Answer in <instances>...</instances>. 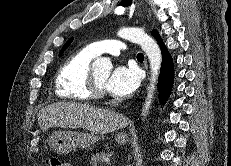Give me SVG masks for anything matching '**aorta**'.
Returning a JSON list of instances; mask_svg holds the SVG:
<instances>
[{"mask_svg": "<svg viewBox=\"0 0 231 166\" xmlns=\"http://www.w3.org/2000/svg\"><path fill=\"white\" fill-rule=\"evenodd\" d=\"M117 35L123 39H127L133 43L139 44L142 50L148 56L151 68L150 84L148 87L147 97L142 111V119L144 120L148 115L149 109L152 104L154 91L158 81L160 72L162 56L161 51L157 43L144 31L138 28H121ZM112 63L109 58L100 57L93 63V68L97 71H102L109 74L112 69Z\"/></svg>", "mask_w": 231, "mask_h": 166, "instance_id": "1", "label": "aorta"}]
</instances>
